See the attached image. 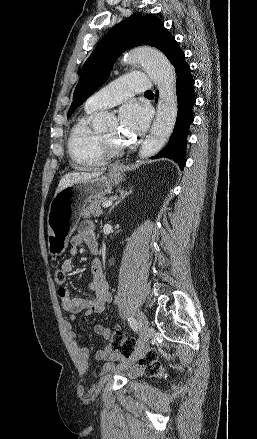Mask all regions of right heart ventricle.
Segmentation results:
<instances>
[{"label":"right heart ventricle","mask_w":257,"mask_h":439,"mask_svg":"<svg viewBox=\"0 0 257 439\" xmlns=\"http://www.w3.org/2000/svg\"><path fill=\"white\" fill-rule=\"evenodd\" d=\"M79 117L74 123L68 138V151L73 165L78 169L98 167L104 160L105 152L100 135L91 127L92 111Z\"/></svg>","instance_id":"obj_1"}]
</instances>
